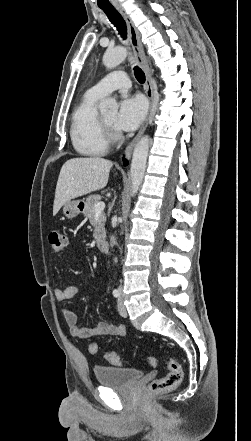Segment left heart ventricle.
Here are the masks:
<instances>
[{
  "label": "left heart ventricle",
  "instance_id": "b2bd125f",
  "mask_svg": "<svg viewBox=\"0 0 251 441\" xmlns=\"http://www.w3.org/2000/svg\"><path fill=\"white\" fill-rule=\"evenodd\" d=\"M116 116H117V114L115 112H112V113L104 115L103 118L105 119V121L109 125H111L114 128V122H115Z\"/></svg>",
  "mask_w": 251,
  "mask_h": 441
}]
</instances>
